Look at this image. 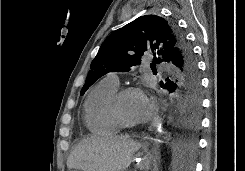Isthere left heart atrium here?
<instances>
[{
	"instance_id": "left-heart-atrium-1",
	"label": "left heart atrium",
	"mask_w": 245,
	"mask_h": 171,
	"mask_svg": "<svg viewBox=\"0 0 245 171\" xmlns=\"http://www.w3.org/2000/svg\"><path fill=\"white\" fill-rule=\"evenodd\" d=\"M154 112L155 104L153 100L148 97H143L138 113L139 122H145L149 120L153 116Z\"/></svg>"
}]
</instances>
